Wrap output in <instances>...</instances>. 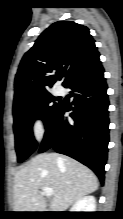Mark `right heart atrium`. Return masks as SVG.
<instances>
[{"instance_id": "1", "label": "right heart atrium", "mask_w": 123, "mask_h": 219, "mask_svg": "<svg viewBox=\"0 0 123 219\" xmlns=\"http://www.w3.org/2000/svg\"><path fill=\"white\" fill-rule=\"evenodd\" d=\"M45 131V125L39 116H36L32 121V134L35 139L39 140L42 138Z\"/></svg>"}]
</instances>
